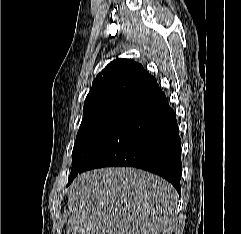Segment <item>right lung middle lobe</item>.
Listing matches in <instances>:
<instances>
[{"mask_svg":"<svg viewBox=\"0 0 241 234\" xmlns=\"http://www.w3.org/2000/svg\"><path fill=\"white\" fill-rule=\"evenodd\" d=\"M132 103H107L84 108L72 152V168L68 184L81 171L85 160L95 147L136 107Z\"/></svg>","mask_w":241,"mask_h":234,"instance_id":"right-lung-middle-lobe-1","label":"right lung middle lobe"}]
</instances>
